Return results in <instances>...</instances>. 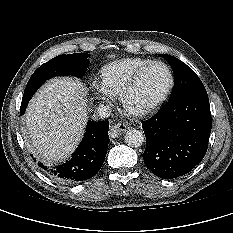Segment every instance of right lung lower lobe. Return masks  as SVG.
Listing matches in <instances>:
<instances>
[{
  "mask_svg": "<svg viewBox=\"0 0 233 233\" xmlns=\"http://www.w3.org/2000/svg\"><path fill=\"white\" fill-rule=\"evenodd\" d=\"M30 98L22 99L20 113L26 110ZM109 122L89 121L84 138L72 158L60 166L47 167L39 163L46 173L53 179L75 183L94 176L101 168L110 142L108 136Z\"/></svg>",
  "mask_w": 233,
  "mask_h": 233,
  "instance_id": "obj_1",
  "label": "right lung lower lobe"
}]
</instances>
